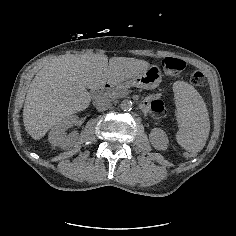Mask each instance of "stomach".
I'll list each match as a JSON object with an SVG mask.
<instances>
[{"label": "stomach", "instance_id": "1", "mask_svg": "<svg viewBox=\"0 0 236 236\" xmlns=\"http://www.w3.org/2000/svg\"><path fill=\"white\" fill-rule=\"evenodd\" d=\"M162 75L158 66H150L140 75L134 77L130 82L132 85L144 88V89H154L158 87L161 83Z\"/></svg>", "mask_w": 236, "mask_h": 236}]
</instances>
